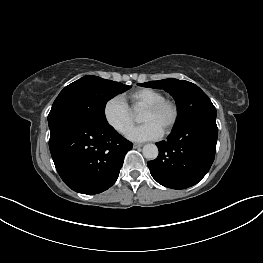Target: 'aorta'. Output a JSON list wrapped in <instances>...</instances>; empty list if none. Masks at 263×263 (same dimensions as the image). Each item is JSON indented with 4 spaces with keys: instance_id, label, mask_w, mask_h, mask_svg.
<instances>
[{
    "instance_id": "aorta-1",
    "label": "aorta",
    "mask_w": 263,
    "mask_h": 263,
    "mask_svg": "<svg viewBox=\"0 0 263 263\" xmlns=\"http://www.w3.org/2000/svg\"><path fill=\"white\" fill-rule=\"evenodd\" d=\"M142 152H143L144 157L149 160L156 159L159 153L158 148L155 144H146L143 147Z\"/></svg>"
}]
</instances>
